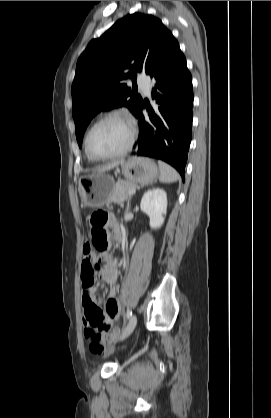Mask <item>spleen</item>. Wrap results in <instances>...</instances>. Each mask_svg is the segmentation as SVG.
<instances>
[{
	"label": "spleen",
	"instance_id": "1",
	"mask_svg": "<svg viewBox=\"0 0 271 418\" xmlns=\"http://www.w3.org/2000/svg\"><path fill=\"white\" fill-rule=\"evenodd\" d=\"M160 176L159 180L162 183H172L179 179L177 171L169 164L159 160L158 161Z\"/></svg>",
	"mask_w": 271,
	"mask_h": 418
}]
</instances>
